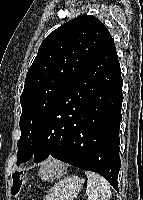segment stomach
Listing matches in <instances>:
<instances>
[{
	"label": "stomach",
	"instance_id": "stomach-1",
	"mask_svg": "<svg viewBox=\"0 0 143 200\" xmlns=\"http://www.w3.org/2000/svg\"><path fill=\"white\" fill-rule=\"evenodd\" d=\"M59 169V165L51 162L45 171H49L52 175H55ZM82 187L83 179L79 176L71 175L64 177L55 183L51 189H49L48 193L44 197V200H74V198L77 197L78 193L81 191Z\"/></svg>",
	"mask_w": 143,
	"mask_h": 200
}]
</instances>
